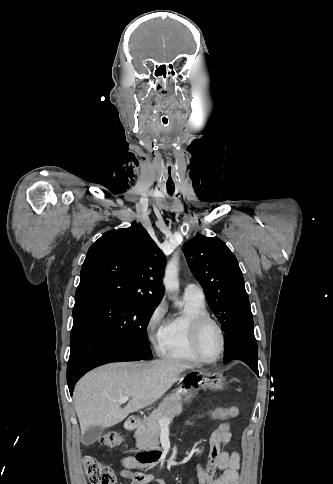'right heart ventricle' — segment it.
<instances>
[{
  "instance_id": "right-heart-ventricle-1",
  "label": "right heart ventricle",
  "mask_w": 333,
  "mask_h": 484,
  "mask_svg": "<svg viewBox=\"0 0 333 484\" xmlns=\"http://www.w3.org/2000/svg\"><path fill=\"white\" fill-rule=\"evenodd\" d=\"M183 309L168 317L161 329L158 347L162 357L189 365H201L191 343V328L194 321L209 312L204 299L184 296Z\"/></svg>"
}]
</instances>
